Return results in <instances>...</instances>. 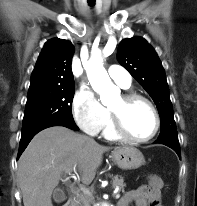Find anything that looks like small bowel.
<instances>
[{"instance_id": "c3829d8e", "label": "small bowel", "mask_w": 197, "mask_h": 206, "mask_svg": "<svg viewBox=\"0 0 197 206\" xmlns=\"http://www.w3.org/2000/svg\"><path fill=\"white\" fill-rule=\"evenodd\" d=\"M132 202L136 206H161L160 188L149 185L128 191L121 198L119 206H129Z\"/></svg>"}]
</instances>
